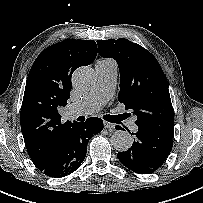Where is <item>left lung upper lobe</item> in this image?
Returning a JSON list of instances; mask_svg holds the SVG:
<instances>
[{
    "label": "left lung upper lobe",
    "mask_w": 203,
    "mask_h": 203,
    "mask_svg": "<svg viewBox=\"0 0 203 203\" xmlns=\"http://www.w3.org/2000/svg\"><path fill=\"white\" fill-rule=\"evenodd\" d=\"M99 54L117 61L118 100L136 115L138 127L174 132V114L166 76L156 58L142 46L120 38L98 40Z\"/></svg>",
    "instance_id": "5c2ea615"
}]
</instances>
